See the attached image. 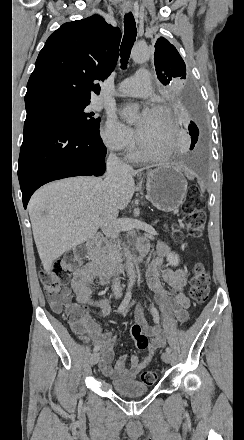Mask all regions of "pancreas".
I'll return each mask as SVG.
<instances>
[{
	"mask_svg": "<svg viewBox=\"0 0 244 440\" xmlns=\"http://www.w3.org/2000/svg\"><path fill=\"white\" fill-rule=\"evenodd\" d=\"M118 248H120V246H118ZM114 256H120V254H119V250H115V254H114Z\"/></svg>",
	"mask_w": 244,
	"mask_h": 440,
	"instance_id": "obj_1",
	"label": "pancreas"
}]
</instances>
